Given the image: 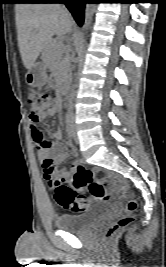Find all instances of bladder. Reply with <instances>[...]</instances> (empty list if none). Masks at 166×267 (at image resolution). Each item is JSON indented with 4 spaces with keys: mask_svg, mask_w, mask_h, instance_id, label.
<instances>
[{
    "mask_svg": "<svg viewBox=\"0 0 166 267\" xmlns=\"http://www.w3.org/2000/svg\"><path fill=\"white\" fill-rule=\"evenodd\" d=\"M99 212L90 211L81 214H62L57 217L56 226L62 231L80 232L89 228L98 220Z\"/></svg>",
    "mask_w": 166,
    "mask_h": 267,
    "instance_id": "obj_1",
    "label": "bladder"
}]
</instances>
